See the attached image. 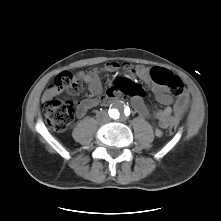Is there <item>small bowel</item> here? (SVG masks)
<instances>
[{
  "mask_svg": "<svg viewBox=\"0 0 221 221\" xmlns=\"http://www.w3.org/2000/svg\"><path fill=\"white\" fill-rule=\"evenodd\" d=\"M120 68L121 65L118 62H108L100 68L78 72L76 74V80L83 81L92 94V97L86 98L77 103L76 114L78 117L85 116L88 110L98 105H108L113 100L117 99L121 93L125 94L123 92V88L128 83L132 82L128 76L116 79L112 87H110L106 92H103V87L99 77V74L102 72H117L120 70ZM134 72L149 86L151 91L154 93L156 100L159 103L165 105L164 108L158 109L154 112V117L158 120L159 124L153 127V131L156 136H161L163 129L176 126L187 112L189 106L188 93L182 92L175 98L168 92L165 86L155 82L151 73V69L145 68L143 66H136L134 68ZM49 93L50 87L46 91V96ZM131 102L136 111L142 117L146 118L150 115L142 97L132 96ZM172 103H174L173 107L170 106Z\"/></svg>",
  "mask_w": 221,
  "mask_h": 221,
  "instance_id": "small-bowel-1",
  "label": "small bowel"
}]
</instances>
